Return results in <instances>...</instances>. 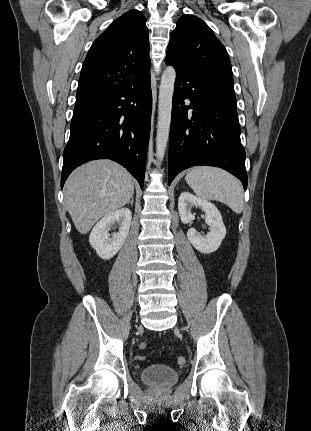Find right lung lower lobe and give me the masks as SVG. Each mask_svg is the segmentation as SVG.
Returning a JSON list of instances; mask_svg holds the SVG:
<instances>
[{"label": "right lung lower lobe", "instance_id": "right-lung-lower-lobe-1", "mask_svg": "<svg viewBox=\"0 0 311 431\" xmlns=\"http://www.w3.org/2000/svg\"><path fill=\"white\" fill-rule=\"evenodd\" d=\"M151 111L149 70L133 82L77 96L61 188L76 167L105 158L124 166L143 188Z\"/></svg>", "mask_w": 311, "mask_h": 431}]
</instances>
